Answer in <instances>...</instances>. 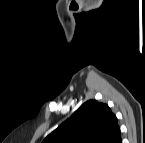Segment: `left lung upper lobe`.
<instances>
[{"instance_id": "1", "label": "left lung upper lobe", "mask_w": 145, "mask_h": 143, "mask_svg": "<svg viewBox=\"0 0 145 143\" xmlns=\"http://www.w3.org/2000/svg\"><path fill=\"white\" fill-rule=\"evenodd\" d=\"M120 138L117 118L108 105L89 100L43 143H117Z\"/></svg>"}]
</instances>
